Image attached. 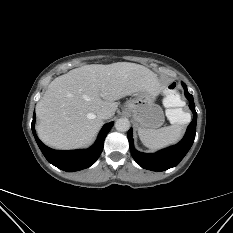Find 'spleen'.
Masks as SVG:
<instances>
[{"instance_id":"spleen-1","label":"spleen","mask_w":233,"mask_h":233,"mask_svg":"<svg viewBox=\"0 0 233 233\" xmlns=\"http://www.w3.org/2000/svg\"><path fill=\"white\" fill-rule=\"evenodd\" d=\"M178 100L165 98L164 105L167 107L166 116L171 122V126L160 129H138L141 142L149 149L157 150L177 143L183 135V125L189 122L190 115L182 111L181 108H172Z\"/></svg>"}]
</instances>
